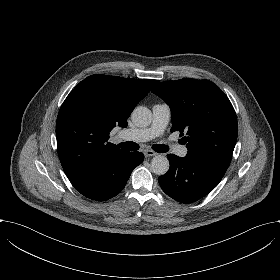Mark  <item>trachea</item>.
<instances>
[{"instance_id": "1", "label": "trachea", "mask_w": 280, "mask_h": 280, "mask_svg": "<svg viewBox=\"0 0 280 280\" xmlns=\"http://www.w3.org/2000/svg\"><path fill=\"white\" fill-rule=\"evenodd\" d=\"M119 147L127 151H135L139 149V145L132 141H126L124 143H120ZM152 149L159 153H165L168 151V146L164 144H155L152 146Z\"/></svg>"}]
</instances>
